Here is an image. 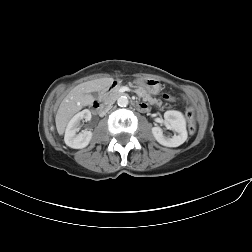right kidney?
Returning a JSON list of instances; mask_svg holds the SVG:
<instances>
[{"label": "right kidney", "mask_w": 252, "mask_h": 252, "mask_svg": "<svg viewBox=\"0 0 252 252\" xmlns=\"http://www.w3.org/2000/svg\"><path fill=\"white\" fill-rule=\"evenodd\" d=\"M91 117V112L88 109H85L71 118L64 135V142L67 146L74 149H82L89 144L93 135L92 131L83 130L78 134L77 132L79 131L80 121H90Z\"/></svg>", "instance_id": "obj_1"}]
</instances>
